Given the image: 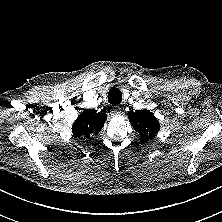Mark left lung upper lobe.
I'll list each match as a JSON object with an SVG mask.
<instances>
[{"label": "left lung upper lobe", "mask_w": 222, "mask_h": 222, "mask_svg": "<svg viewBox=\"0 0 222 222\" xmlns=\"http://www.w3.org/2000/svg\"><path fill=\"white\" fill-rule=\"evenodd\" d=\"M128 118L131 125L139 133L140 140L143 143H147L155 137L160 129L158 120L148 110L131 111L128 113Z\"/></svg>", "instance_id": "5c2ea615"}]
</instances>
